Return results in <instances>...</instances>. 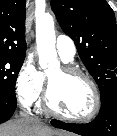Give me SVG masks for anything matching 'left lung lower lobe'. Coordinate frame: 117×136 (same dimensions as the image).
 I'll use <instances>...</instances> for the list:
<instances>
[{"label": "left lung lower lobe", "instance_id": "0a47b994", "mask_svg": "<svg viewBox=\"0 0 117 136\" xmlns=\"http://www.w3.org/2000/svg\"><path fill=\"white\" fill-rule=\"evenodd\" d=\"M98 116L87 124L52 121V125L83 136H117V90L101 101Z\"/></svg>", "mask_w": 117, "mask_h": 136}]
</instances>
